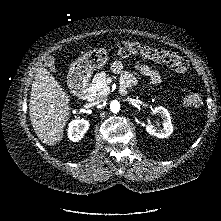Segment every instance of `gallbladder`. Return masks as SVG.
<instances>
[{"label": "gallbladder", "mask_w": 221, "mask_h": 221, "mask_svg": "<svg viewBox=\"0 0 221 221\" xmlns=\"http://www.w3.org/2000/svg\"><path fill=\"white\" fill-rule=\"evenodd\" d=\"M45 65L51 72H53V73L57 72V68L54 65V58L53 57H51V56L46 57Z\"/></svg>", "instance_id": "gallbladder-1"}]
</instances>
